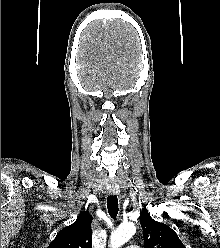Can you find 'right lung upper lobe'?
<instances>
[{
    "mask_svg": "<svg viewBox=\"0 0 220 248\" xmlns=\"http://www.w3.org/2000/svg\"><path fill=\"white\" fill-rule=\"evenodd\" d=\"M92 216L82 212L76 221L63 228L47 248H92Z\"/></svg>",
    "mask_w": 220,
    "mask_h": 248,
    "instance_id": "right-lung-upper-lobe-1",
    "label": "right lung upper lobe"
}]
</instances>
